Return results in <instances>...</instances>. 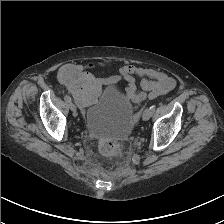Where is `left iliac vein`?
I'll list each match as a JSON object with an SVG mask.
<instances>
[{
	"mask_svg": "<svg viewBox=\"0 0 224 224\" xmlns=\"http://www.w3.org/2000/svg\"><path fill=\"white\" fill-rule=\"evenodd\" d=\"M151 116H152V113H151V110H150V108H149V109H146V110L144 111V113H143V115H142V119H143L144 121H147V120H149V119L151 118Z\"/></svg>",
	"mask_w": 224,
	"mask_h": 224,
	"instance_id": "obj_1",
	"label": "left iliac vein"
}]
</instances>
